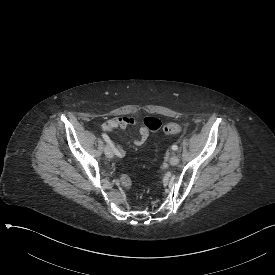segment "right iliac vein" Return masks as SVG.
<instances>
[{"label":"right iliac vein","mask_w":275,"mask_h":275,"mask_svg":"<svg viewBox=\"0 0 275 275\" xmlns=\"http://www.w3.org/2000/svg\"><path fill=\"white\" fill-rule=\"evenodd\" d=\"M105 155L107 158L111 159L113 158V151L111 145L107 144L105 146Z\"/></svg>","instance_id":"obj_1"}]
</instances>
